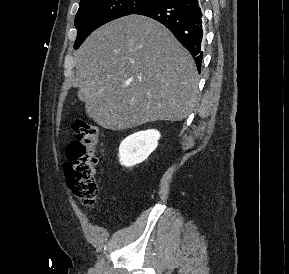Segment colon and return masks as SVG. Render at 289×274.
I'll list each match as a JSON object with an SVG mask.
<instances>
[{
    "instance_id": "5ec220e1",
    "label": "colon",
    "mask_w": 289,
    "mask_h": 274,
    "mask_svg": "<svg viewBox=\"0 0 289 274\" xmlns=\"http://www.w3.org/2000/svg\"><path fill=\"white\" fill-rule=\"evenodd\" d=\"M76 139L67 147L64 165L68 185L75 196L86 206H93L98 198L96 148L99 129L95 124L78 120L74 123Z\"/></svg>"
}]
</instances>
